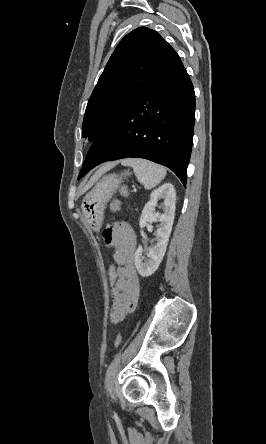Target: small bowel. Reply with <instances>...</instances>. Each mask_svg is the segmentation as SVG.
<instances>
[{"mask_svg": "<svg viewBox=\"0 0 266 444\" xmlns=\"http://www.w3.org/2000/svg\"><path fill=\"white\" fill-rule=\"evenodd\" d=\"M106 245L112 249V257L118 267V281L112 290L111 321L121 322L137 305L140 284L134 266L136 237L126 223L110 224L103 231Z\"/></svg>", "mask_w": 266, "mask_h": 444, "instance_id": "c3829d8e", "label": "small bowel"}]
</instances>
